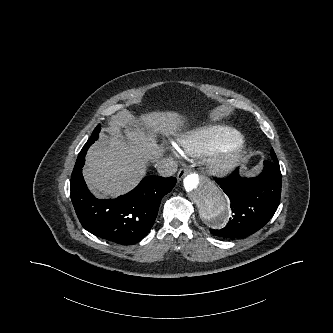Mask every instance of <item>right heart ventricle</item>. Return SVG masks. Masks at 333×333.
Segmentation results:
<instances>
[{
	"mask_svg": "<svg viewBox=\"0 0 333 333\" xmlns=\"http://www.w3.org/2000/svg\"><path fill=\"white\" fill-rule=\"evenodd\" d=\"M235 140H242V136L231 128L203 127L180 137L178 147L183 154L202 156L221 143Z\"/></svg>",
	"mask_w": 333,
	"mask_h": 333,
	"instance_id": "right-heart-ventricle-1",
	"label": "right heart ventricle"
}]
</instances>
